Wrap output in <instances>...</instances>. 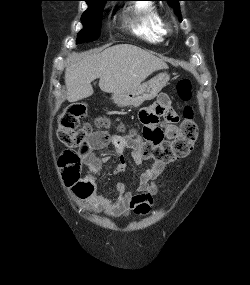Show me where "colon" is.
I'll use <instances>...</instances> for the list:
<instances>
[{
    "instance_id": "colon-1",
    "label": "colon",
    "mask_w": 250,
    "mask_h": 285,
    "mask_svg": "<svg viewBox=\"0 0 250 285\" xmlns=\"http://www.w3.org/2000/svg\"><path fill=\"white\" fill-rule=\"evenodd\" d=\"M177 92L183 101H189L192 96L191 83L187 79H181L177 84ZM88 106L84 102H76L69 105L59 120L57 135L59 140L69 148L83 146L87 138L92 134V125L81 126V120L87 116ZM94 125L99 128L108 127L110 122L99 117ZM120 131L124 126H118ZM144 133V131H143ZM103 134V133H102ZM132 137H136L131 133ZM198 137V127L193 120V113L190 107L184 111V120L180 125L179 132L166 144H151V141H144L139 146L138 154L141 159H152L162 163H169L179 160L192 150ZM106 140L105 136L101 137ZM59 166L63 170V175L67 183L74 184L80 176V157L73 150L65 151L59 158Z\"/></svg>"
}]
</instances>
